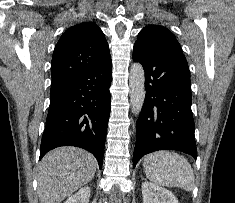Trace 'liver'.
Instances as JSON below:
<instances>
[{
  "mask_svg": "<svg viewBox=\"0 0 235 203\" xmlns=\"http://www.w3.org/2000/svg\"><path fill=\"white\" fill-rule=\"evenodd\" d=\"M96 167L95 157L83 149L66 146L50 151L39 164L40 203H61L92 180Z\"/></svg>",
  "mask_w": 235,
  "mask_h": 203,
  "instance_id": "1",
  "label": "liver"
}]
</instances>
